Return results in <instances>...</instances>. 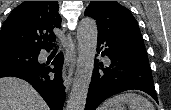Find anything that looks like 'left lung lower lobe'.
Returning a JSON list of instances; mask_svg holds the SVG:
<instances>
[{"mask_svg":"<svg viewBox=\"0 0 171 110\" xmlns=\"http://www.w3.org/2000/svg\"><path fill=\"white\" fill-rule=\"evenodd\" d=\"M101 45L106 47L101 55H106L111 64L100 69L99 66L104 67L103 64L95 60L85 110H95L110 96L132 89L148 93L158 103L148 58L127 52L98 38L97 48Z\"/></svg>","mask_w":171,"mask_h":110,"instance_id":"0a47b994","label":"left lung lower lobe"}]
</instances>
